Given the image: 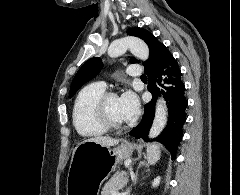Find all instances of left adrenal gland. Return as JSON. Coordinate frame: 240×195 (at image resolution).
<instances>
[{
  "instance_id": "1",
  "label": "left adrenal gland",
  "mask_w": 240,
  "mask_h": 195,
  "mask_svg": "<svg viewBox=\"0 0 240 195\" xmlns=\"http://www.w3.org/2000/svg\"><path fill=\"white\" fill-rule=\"evenodd\" d=\"M143 165H147V163H140L139 167H137V171H135L134 183H137L138 171L141 169V167H143ZM147 171H149V169H147Z\"/></svg>"
}]
</instances>
